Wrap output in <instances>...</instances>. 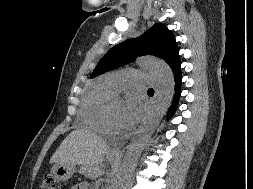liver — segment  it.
<instances>
[{
  "label": "liver",
  "instance_id": "6515ba94",
  "mask_svg": "<svg viewBox=\"0 0 253 189\" xmlns=\"http://www.w3.org/2000/svg\"><path fill=\"white\" fill-rule=\"evenodd\" d=\"M108 154L109 148L100 137L81 128L62 141L50 163L82 165L87 176L98 177L101 175L99 165Z\"/></svg>",
  "mask_w": 253,
  "mask_h": 189
}]
</instances>
